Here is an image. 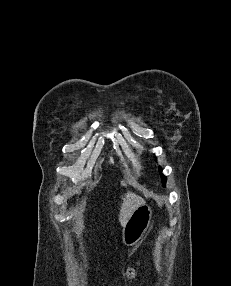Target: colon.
<instances>
[{
	"label": "colon",
	"mask_w": 231,
	"mask_h": 286,
	"mask_svg": "<svg viewBox=\"0 0 231 286\" xmlns=\"http://www.w3.org/2000/svg\"><path fill=\"white\" fill-rule=\"evenodd\" d=\"M135 276V269L134 268H129L127 271V277L129 279L133 278Z\"/></svg>",
	"instance_id": "1"
}]
</instances>
